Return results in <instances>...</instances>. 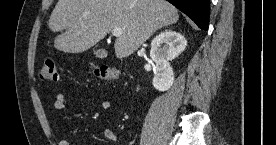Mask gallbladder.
I'll return each instance as SVG.
<instances>
[{
	"label": "gallbladder",
	"mask_w": 276,
	"mask_h": 145,
	"mask_svg": "<svg viewBox=\"0 0 276 145\" xmlns=\"http://www.w3.org/2000/svg\"><path fill=\"white\" fill-rule=\"evenodd\" d=\"M105 54H106V52L103 49H99L95 52V55L97 58H104Z\"/></svg>",
	"instance_id": "1"
}]
</instances>
